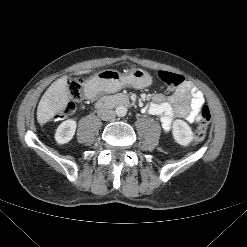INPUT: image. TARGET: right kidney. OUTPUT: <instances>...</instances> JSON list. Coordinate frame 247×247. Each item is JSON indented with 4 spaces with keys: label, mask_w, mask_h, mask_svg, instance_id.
Here are the masks:
<instances>
[{
    "label": "right kidney",
    "mask_w": 247,
    "mask_h": 247,
    "mask_svg": "<svg viewBox=\"0 0 247 247\" xmlns=\"http://www.w3.org/2000/svg\"><path fill=\"white\" fill-rule=\"evenodd\" d=\"M77 124L74 120L69 119L62 122L55 133V140L58 144L68 143L74 136Z\"/></svg>",
    "instance_id": "ca27d5eb"
}]
</instances>
